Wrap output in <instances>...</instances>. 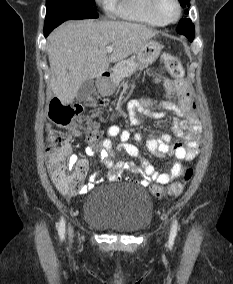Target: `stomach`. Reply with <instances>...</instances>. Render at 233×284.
I'll return each instance as SVG.
<instances>
[{"label":"stomach","mask_w":233,"mask_h":284,"mask_svg":"<svg viewBox=\"0 0 233 284\" xmlns=\"http://www.w3.org/2000/svg\"><path fill=\"white\" fill-rule=\"evenodd\" d=\"M162 51V45L156 41L149 40L145 45L135 53V59L138 67L142 70L148 67L159 57ZM118 85L115 74L99 86V90L103 94H111Z\"/></svg>","instance_id":"obj_1"}]
</instances>
